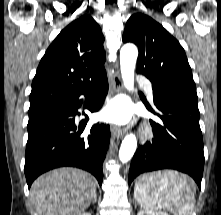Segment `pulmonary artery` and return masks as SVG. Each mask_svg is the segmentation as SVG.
Masks as SVG:
<instances>
[{
    "instance_id": "obj_1",
    "label": "pulmonary artery",
    "mask_w": 221,
    "mask_h": 215,
    "mask_svg": "<svg viewBox=\"0 0 221 215\" xmlns=\"http://www.w3.org/2000/svg\"><path fill=\"white\" fill-rule=\"evenodd\" d=\"M137 81L144 86L146 93L148 95V98L150 100H153V89H152L151 82L148 79L141 77V76L137 77Z\"/></svg>"
}]
</instances>
